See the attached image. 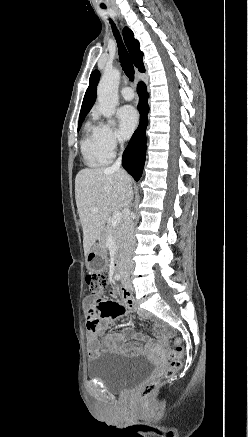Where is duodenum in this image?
I'll use <instances>...</instances> for the list:
<instances>
[{
    "label": "duodenum",
    "mask_w": 248,
    "mask_h": 437,
    "mask_svg": "<svg viewBox=\"0 0 248 437\" xmlns=\"http://www.w3.org/2000/svg\"><path fill=\"white\" fill-rule=\"evenodd\" d=\"M121 265H122V259H121V256H117V257L115 258V261H114V267H115V269H116V270H119V269L121 268Z\"/></svg>",
    "instance_id": "1"
}]
</instances>
